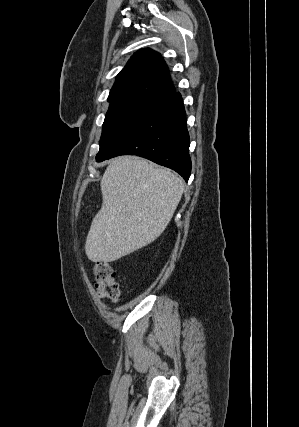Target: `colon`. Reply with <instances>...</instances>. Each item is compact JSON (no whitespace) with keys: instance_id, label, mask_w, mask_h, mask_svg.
<instances>
[{"instance_id":"5ec220e1","label":"colon","mask_w":299,"mask_h":427,"mask_svg":"<svg viewBox=\"0 0 299 427\" xmlns=\"http://www.w3.org/2000/svg\"><path fill=\"white\" fill-rule=\"evenodd\" d=\"M94 275L100 297L112 301L118 300L120 287L113 268L106 262H98L94 267Z\"/></svg>"}]
</instances>
